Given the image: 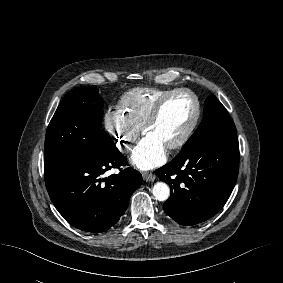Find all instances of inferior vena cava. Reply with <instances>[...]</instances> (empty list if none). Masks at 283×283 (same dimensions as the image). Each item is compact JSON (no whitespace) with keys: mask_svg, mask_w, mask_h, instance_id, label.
<instances>
[{"mask_svg":"<svg viewBox=\"0 0 283 283\" xmlns=\"http://www.w3.org/2000/svg\"><path fill=\"white\" fill-rule=\"evenodd\" d=\"M125 147H126L125 149H126L127 151L131 149L130 146H128V145H126Z\"/></svg>","mask_w":283,"mask_h":283,"instance_id":"602c4592","label":"inferior vena cava"}]
</instances>
